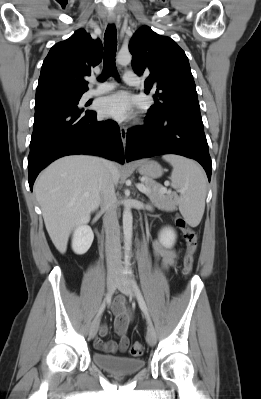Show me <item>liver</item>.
Wrapping results in <instances>:
<instances>
[{"label": "liver", "mask_w": 261, "mask_h": 399, "mask_svg": "<svg viewBox=\"0 0 261 399\" xmlns=\"http://www.w3.org/2000/svg\"><path fill=\"white\" fill-rule=\"evenodd\" d=\"M106 170L117 185L120 172L114 162L90 155H73L53 162L37 179L35 196L47 232L60 253L66 252L73 227L98 209Z\"/></svg>", "instance_id": "6515ba94"}]
</instances>
